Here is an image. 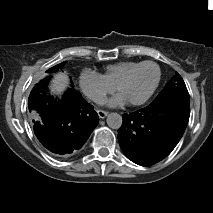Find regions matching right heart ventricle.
I'll list each match as a JSON object with an SVG mask.
<instances>
[{
  "label": "right heart ventricle",
  "mask_w": 213,
  "mask_h": 213,
  "mask_svg": "<svg viewBox=\"0 0 213 213\" xmlns=\"http://www.w3.org/2000/svg\"><path fill=\"white\" fill-rule=\"evenodd\" d=\"M141 62L121 61L114 64L107 65L101 76L113 87L118 81L134 66Z\"/></svg>",
  "instance_id": "e07e8e85"
}]
</instances>
